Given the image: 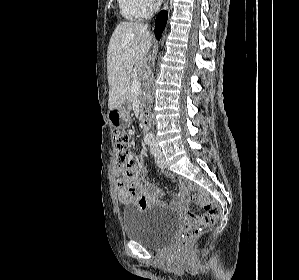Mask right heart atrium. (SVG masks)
Returning <instances> with one entry per match:
<instances>
[{"instance_id":"d8ad5b80","label":"right heart atrium","mask_w":299,"mask_h":280,"mask_svg":"<svg viewBox=\"0 0 299 280\" xmlns=\"http://www.w3.org/2000/svg\"><path fill=\"white\" fill-rule=\"evenodd\" d=\"M140 2L147 12L153 11L158 5L157 0H140Z\"/></svg>"}]
</instances>
